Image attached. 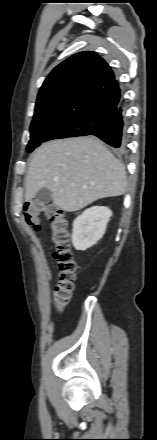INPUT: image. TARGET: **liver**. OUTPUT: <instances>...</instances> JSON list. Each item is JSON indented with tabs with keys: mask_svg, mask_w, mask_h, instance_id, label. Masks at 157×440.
Returning a JSON list of instances; mask_svg holds the SVG:
<instances>
[{
	"mask_svg": "<svg viewBox=\"0 0 157 440\" xmlns=\"http://www.w3.org/2000/svg\"><path fill=\"white\" fill-rule=\"evenodd\" d=\"M47 188L53 204L63 211L80 210L90 203L123 195L124 165L94 137L59 139L42 144L31 159L25 179V199Z\"/></svg>",
	"mask_w": 157,
	"mask_h": 440,
	"instance_id": "obj_1",
	"label": "liver"
}]
</instances>
